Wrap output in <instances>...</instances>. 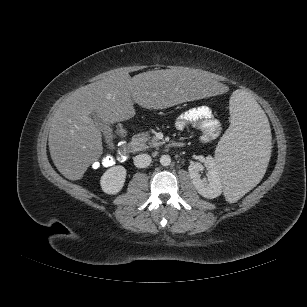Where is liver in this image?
I'll return each instance as SVG.
<instances>
[{
  "mask_svg": "<svg viewBox=\"0 0 307 307\" xmlns=\"http://www.w3.org/2000/svg\"><path fill=\"white\" fill-rule=\"evenodd\" d=\"M226 86L207 72L178 67L148 71L130 77L115 72L78 88L55 111L49 132L51 158L69 180L83 177L91 163L103 153L102 135L90 115L98 113L108 124L135 115L134 103L146 109L174 105L222 94Z\"/></svg>",
  "mask_w": 307,
  "mask_h": 307,
  "instance_id": "obj_1",
  "label": "liver"
}]
</instances>
